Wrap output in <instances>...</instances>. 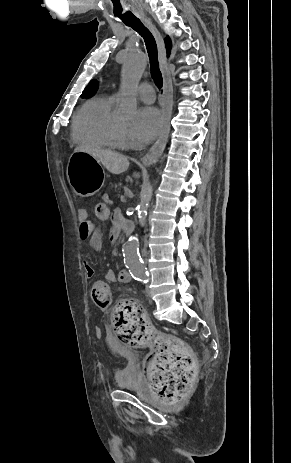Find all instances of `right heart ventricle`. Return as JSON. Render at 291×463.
Instances as JSON below:
<instances>
[{
  "label": "right heart ventricle",
  "instance_id": "obj_1",
  "mask_svg": "<svg viewBox=\"0 0 291 463\" xmlns=\"http://www.w3.org/2000/svg\"><path fill=\"white\" fill-rule=\"evenodd\" d=\"M114 96H102L87 101L77 112L72 125L75 143L88 148L116 147L112 115Z\"/></svg>",
  "mask_w": 291,
  "mask_h": 463
}]
</instances>
